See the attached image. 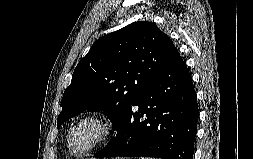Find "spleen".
<instances>
[{"label":"spleen","instance_id":"spleen-1","mask_svg":"<svg viewBox=\"0 0 253 159\" xmlns=\"http://www.w3.org/2000/svg\"><path fill=\"white\" fill-rule=\"evenodd\" d=\"M140 159H157V158H145V157H142Z\"/></svg>","mask_w":253,"mask_h":159}]
</instances>
